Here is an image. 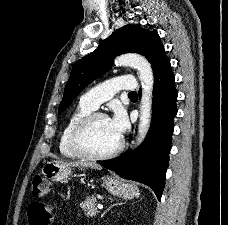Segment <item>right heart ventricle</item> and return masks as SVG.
I'll list each match as a JSON object with an SVG mask.
<instances>
[{
  "mask_svg": "<svg viewBox=\"0 0 228 225\" xmlns=\"http://www.w3.org/2000/svg\"><path fill=\"white\" fill-rule=\"evenodd\" d=\"M91 112H93V109L79 102L78 105L73 110V112L71 113V115L69 116L68 121L65 124L59 138V151L64 157L71 158V159L82 158L81 155L77 154L71 148L70 135L75 125L82 118H84L86 115L90 114Z\"/></svg>",
  "mask_w": 228,
  "mask_h": 225,
  "instance_id": "right-heart-ventricle-1",
  "label": "right heart ventricle"
}]
</instances>
